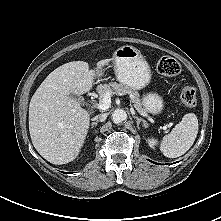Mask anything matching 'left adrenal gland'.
<instances>
[{
  "label": "left adrenal gland",
  "mask_w": 221,
  "mask_h": 221,
  "mask_svg": "<svg viewBox=\"0 0 221 221\" xmlns=\"http://www.w3.org/2000/svg\"><path fill=\"white\" fill-rule=\"evenodd\" d=\"M133 118L136 119V123H137L138 129H139V125H140L141 122L143 123V126H144L145 128L148 127V123H147L144 119H141V118H139V117H137V116H135V115H133Z\"/></svg>",
  "instance_id": "left-adrenal-gland-1"
}]
</instances>
